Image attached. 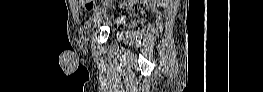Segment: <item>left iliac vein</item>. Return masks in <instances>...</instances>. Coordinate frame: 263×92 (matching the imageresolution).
<instances>
[{
    "label": "left iliac vein",
    "mask_w": 263,
    "mask_h": 92,
    "mask_svg": "<svg viewBox=\"0 0 263 92\" xmlns=\"http://www.w3.org/2000/svg\"><path fill=\"white\" fill-rule=\"evenodd\" d=\"M95 6L97 7L95 17L101 18L102 17L101 13H103L104 5L102 4L101 0H98V2L95 3Z\"/></svg>",
    "instance_id": "obj_1"
}]
</instances>
